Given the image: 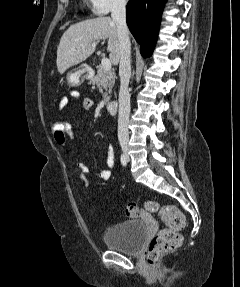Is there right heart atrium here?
Returning <instances> with one entry per match:
<instances>
[{
    "mask_svg": "<svg viewBox=\"0 0 240 287\" xmlns=\"http://www.w3.org/2000/svg\"><path fill=\"white\" fill-rule=\"evenodd\" d=\"M94 15L104 16L109 12L122 8L126 0H88Z\"/></svg>",
    "mask_w": 240,
    "mask_h": 287,
    "instance_id": "obj_1",
    "label": "right heart atrium"
}]
</instances>
